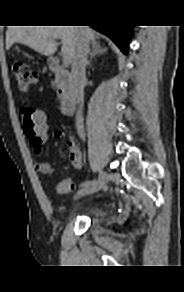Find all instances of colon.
Masks as SVG:
<instances>
[{"label": "colon", "mask_w": 184, "mask_h": 292, "mask_svg": "<svg viewBox=\"0 0 184 292\" xmlns=\"http://www.w3.org/2000/svg\"><path fill=\"white\" fill-rule=\"evenodd\" d=\"M12 71L21 91H27L38 81V74L26 61L18 60L12 65ZM23 128L30 145L36 153L47 138V124L45 115L34 107H25L21 110Z\"/></svg>", "instance_id": "colon-1"}]
</instances>
